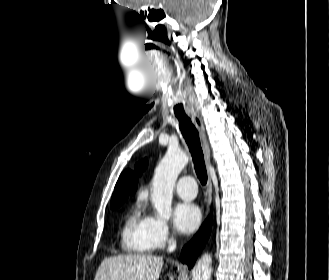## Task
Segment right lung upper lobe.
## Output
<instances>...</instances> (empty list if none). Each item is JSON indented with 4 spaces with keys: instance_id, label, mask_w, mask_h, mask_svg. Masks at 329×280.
I'll list each match as a JSON object with an SVG mask.
<instances>
[{
    "instance_id": "1",
    "label": "right lung upper lobe",
    "mask_w": 329,
    "mask_h": 280,
    "mask_svg": "<svg viewBox=\"0 0 329 280\" xmlns=\"http://www.w3.org/2000/svg\"><path fill=\"white\" fill-rule=\"evenodd\" d=\"M147 166V160L144 159L135 166V172L125 170L121 173L111 199V206L117 204L119 201L126 200L128 195L133 194L136 190L138 176Z\"/></svg>"
}]
</instances>
